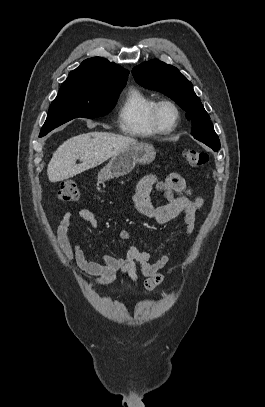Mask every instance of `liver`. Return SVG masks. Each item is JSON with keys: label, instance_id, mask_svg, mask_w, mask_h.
<instances>
[{"label": "liver", "instance_id": "1", "mask_svg": "<svg viewBox=\"0 0 265 407\" xmlns=\"http://www.w3.org/2000/svg\"><path fill=\"white\" fill-rule=\"evenodd\" d=\"M135 144L137 141L131 137L107 132H90L72 137L54 152L47 167L49 181L59 182L74 177ZM77 159L82 163L76 164Z\"/></svg>", "mask_w": 265, "mask_h": 407}]
</instances>
